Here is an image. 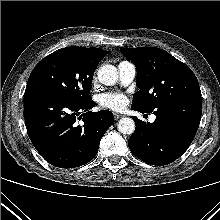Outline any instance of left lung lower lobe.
<instances>
[{"instance_id":"left-lung-lower-lobe-1","label":"left lung lower lobe","mask_w":220,"mask_h":220,"mask_svg":"<svg viewBox=\"0 0 220 220\" xmlns=\"http://www.w3.org/2000/svg\"><path fill=\"white\" fill-rule=\"evenodd\" d=\"M153 113L156 115L154 123L133 118L136 129L128 140V146L140 160L163 166L178 159L193 141L201 119L202 98L177 99L161 105Z\"/></svg>"}]
</instances>
